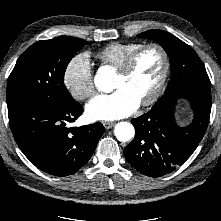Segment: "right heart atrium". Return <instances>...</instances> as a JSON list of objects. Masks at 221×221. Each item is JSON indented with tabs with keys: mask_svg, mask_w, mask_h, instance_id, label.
<instances>
[{
	"mask_svg": "<svg viewBox=\"0 0 221 221\" xmlns=\"http://www.w3.org/2000/svg\"><path fill=\"white\" fill-rule=\"evenodd\" d=\"M64 84L70 94L77 100H85L94 92V75L87 53L73 57L64 72Z\"/></svg>",
	"mask_w": 221,
	"mask_h": 221,
	"instance_id": "1",
	"label": "right heart atrium"
}]
</instances>
